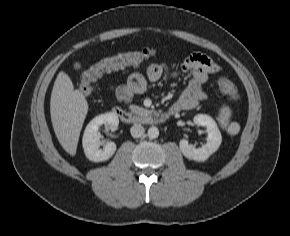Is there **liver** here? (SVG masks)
Masks as SVG:
<instances>
[{"mask_svg":"<svg viewBox=\"0 0 290 236\" xmlns=\"http://www.w3.org/2000/svg\"><path fill=\"white\" fill-rule=\"evenodd\" d=\"M88 112L85 96L74 89L70 77L59 72L50 99V115L55 135L63 149L76 154L80 132Z\"/></svg>","mask_w":290,"mask_h":236,"instance_id":"1","label":"liver"}]
</instances>
